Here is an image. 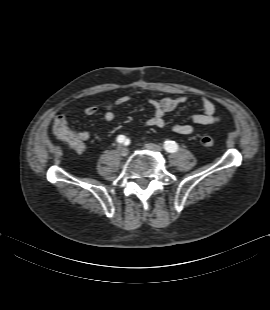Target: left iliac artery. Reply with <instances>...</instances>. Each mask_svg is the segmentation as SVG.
Returning a JSON list of instances; mask_svg holds the SVG:
<instances>
[{
    "instance_id": "1",
    "label": "left iliac artery",
    "mask_w": 270,
    "mask_h": 310,
    "mask_svg": "<svg viewBox=\"0 0 270 310\" xmlns=\"http://www.w3.org/2000/svg\"><path fill=\"white\" fill-rule=\"evenodd\" d=\"M164 149L167 152L173 153V152H176L178 150V145L174 141H166L164 143Z\"/></svg>"
}]
</instances>
